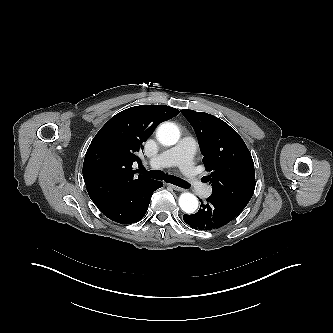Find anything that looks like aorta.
<instances>
[{"mask_svg": "<svg viewBox=\"0 0 333 333\" xmlns=\"http://www.w3.org/2000/svg\"><path fill=\"white\" fill-rule=\"evenodd\" d=\"M180 138L178 127L172 122H165L157 129V139L165 146L175 145ZM179 206L185 213H193L198 208V199L195 195L185 192L179 197Z\"/></svg>", "mask_w": 333, "mask_h": 333, "instance_id": "aorta-1", "label": "aorta"}]
</instances>
